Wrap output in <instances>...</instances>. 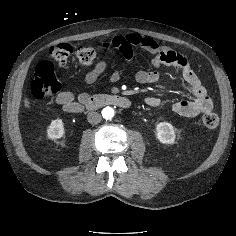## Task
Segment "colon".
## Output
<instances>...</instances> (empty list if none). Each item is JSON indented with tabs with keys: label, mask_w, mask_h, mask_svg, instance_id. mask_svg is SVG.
<instances>
[{
	"label": "colon",
	"mask_w": 236,
	"mask_h": 236,
	"mask_svg": "<svg viewBox=\"0 0 236 236\" xmlns=\"http://www.w3.org/2000/svg\"><path fill=\"white\" fill-rule=\"evenodd\" d=\"M73 52L74 48L69 43H61L49 49L50 57L60 65L64 64ZM75 54L81 65L89 66L96 57V50L93 47L83 46L78 47ZM60 88L61 82L55 74L53 63L48 60L40 62L35 68L30 85L32 96L36 99H42L57 93ZM202 122L206 128L214 129L219 124V117L214 112H207L203 115Z\"/></svg>",
	"instance_id": "obj_1"
}]
</instances>
